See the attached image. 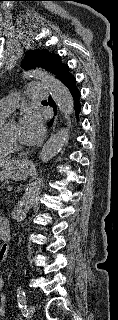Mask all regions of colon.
Listing matches in <instances>:
<instances>
[{
  "instance_id": "obj_1",
  "label": "colon",
  "mask_w": 118,
  "mask_h": 320,
  "mask_svg": "<svg viewBox=\"0 0 118 320\" xmlns=\"http://www.w3.org/2000/svg\"><path fill=\"white\" fill-rule=\"evenodd\" d=\"M5 254L4 251H0V261L4 260Z\"/></svg>"
}]
</instances>
